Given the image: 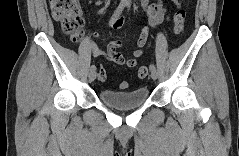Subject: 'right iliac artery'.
<instances>
[{"mask_svg": "<svg viewBox=\"0 0 239 156\" xmlns=\"http://www.w3.org/2000/svg\"><path fill=\"white\" fill-rule=\"evenodd\" d=\"M124 8V4H120L117 9L115 10L114 14L112 15L110 21H109V25H111L115 20H117V18L120 16L122 10ZM91 69H96L95 65L91 66Z\"/></svg>", "mask_w": 239, "mask_h": 156, "instance_id": "obj_1", "label": "right iliac artery"}]
</instances>
